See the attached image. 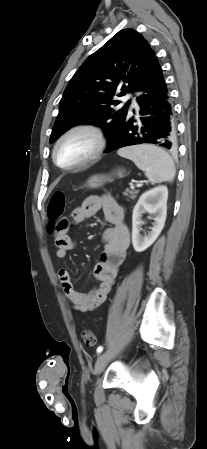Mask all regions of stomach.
Wrapping results in <instances>:
<instances>
[{"label":"stomach","mask_w":207,"mask_h":449,"mask_svg":"<svg viewBox=\"0 0 207 449\" xmlns=\"http://www.w3.org/2000/svg\"><path fill=\"white\" fill-rule=\"evenodd\" d=\"M124 176L125 171L123 169H118L110 175H93L87 180L84 187L96 189L103 186L107 182H110L113 177L123 178Z\"/></svg>","instance_id":"1"}]
</instances>
